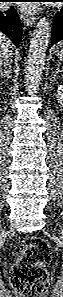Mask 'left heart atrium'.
<instances>
[{
	"instance_id": "39dd6f15",
	"label": "left heart atrium",
	"mask_w": 63,
	"mask_h": 297,
	"mask_svg": "<svg viewBox=\"0 0 63 297\" xmlns=\"http://www.w3.org/2000/svg\"><path fill=\"white\" fill-rule=\"evenodd\" d=\"M34 7H35V6L32 5V4H27V5H25V10H27V11H32V9H33Z\"/></svg>"
}]
</instances>
